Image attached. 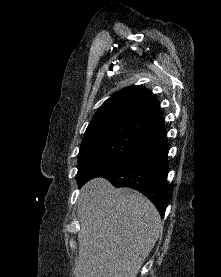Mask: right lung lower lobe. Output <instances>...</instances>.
I'll list each match as a JSON object with an SVG mask.
<instances>
[{
  "mask_svg": "<svg viewBox=\"0 0 221 277\" xmlns=\"http://www.w3.org/2000/svg\"><path fill=\"white\" fill-rule=\"evenodd\" d=\"M140 125L145 133L141 141L118 164L96 177L106 178L116 187L140 191L156 205L163 217L168 203L169 145L160 109L146 114ZM88 180L78 183L79 186Z\"/></svg>",
  "mask_w": 221,
  "mask_h": 277,
  "instance_id": "98d812e1",
  "label": "right lung lower lobe"
}]
</instances>
